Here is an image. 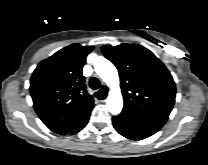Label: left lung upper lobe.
<instances>
[{"label":"left lung upper lobe","instance_id":"left-lung-upper-lobe-1","mask_svg":"<svg viewBox=\"0 0 208 165\" xmlns=\"http://www.w3.org/2000/svg\"><path fill=\"white\" fill-rule=\"evenodd\" d=\"M117 67L124 97L122 112L166 121L175 103V82L164 64L137 44L102 46Z\"/></svg>","mask_w":208,"mask_h":165}]
</instances>
